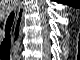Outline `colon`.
<instances>
[{"mask_svg": "<svg viewBox=\"0 0 80 60\" xmlns=\"http://www.w3.org/2000/svg\"><path fill=\"white\" fill-rule=\"evenodd\" d=\"M2 56V58H5V56L4 55H1Z\"/></svg>", "mask_w": 80, "mask_h": 60, "instance_id": "5ec220e1", "label": "colon"}]
</instances>
